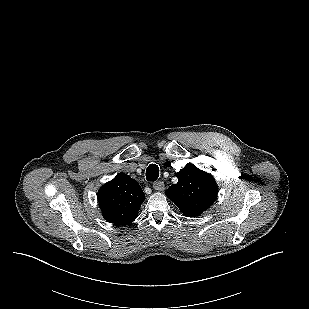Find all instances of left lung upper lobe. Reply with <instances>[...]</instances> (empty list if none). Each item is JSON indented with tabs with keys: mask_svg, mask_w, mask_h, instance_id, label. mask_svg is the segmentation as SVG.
<instances>
[{
	"mask_svg": "<svg viewBox=\"0 0 309 309\" xmlns=\"http://www.w3.org/2000/svg\"><path fill=\"white\" fill-rule=\"evenodd\" d=\"M176 177L178 183L171 185L165 193L184 216H198L216 200L218 186L211 174L186 164Z\"/></svg>",
	"mask_w": 309,
	"mask_h": 309,
	"instance_id": "5c2ea615",
	"label": "left lung upper lobe"
}]
</instances>
